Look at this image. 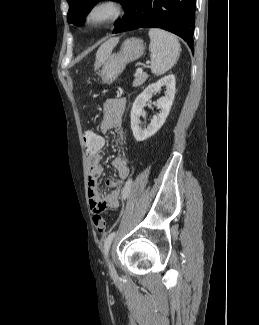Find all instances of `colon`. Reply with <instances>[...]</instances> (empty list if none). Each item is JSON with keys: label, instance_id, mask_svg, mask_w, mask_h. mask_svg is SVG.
Returning a JSON list of instances; mask_svg holds the SVG:
<instances>
[{"label": "colon", "instance_id": "colon-1", "mask_svg": "<svg viewBox=\"0 0 259 325\" xmlns=\"http://www.w3.org/2000/svg\"><path fill=\"white\" fill-rule=\"evenodd\" d=\"M84 144L86 149H102L103 139L99 135H96L95 132L87 130L84 133ZM93 224L95 230L99 234H104L106 231V221L100 214H95L93 216Z\"/></svg>", "mask_w": 259, "mask_h": 325}]
</instances>
